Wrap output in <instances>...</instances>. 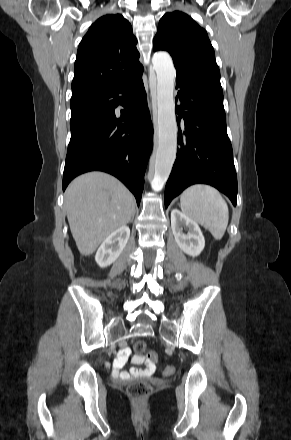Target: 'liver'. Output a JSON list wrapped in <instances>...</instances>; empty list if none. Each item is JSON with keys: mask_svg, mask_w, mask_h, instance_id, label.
<instances>
[{"mask_svg": "<svg viewBox=\"0 0 291 440\" xmlns=\"http://www.w3.org/2000/svg\"><path fill=\"white\" fill-rule=\"evenodd\" d=\"M65 208L80 254H93L115 230L135 213L132 193L115 177L89 172L75 178L65 192Z\"/></svg>", "mask_w": 291, "mask_h": 440, "instance_id": "obj_1", "label": "liver"}]
</instances>
